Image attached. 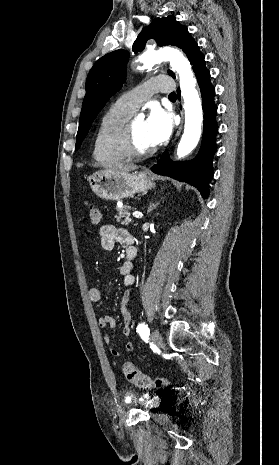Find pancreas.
<instances>
[{"mask_svg":"<svg viewBox=\"0 0 279 465\" xmlns=\"http://www.w3.org/2000/svg\"><path fill=\"white\" fill-rule=\"evenodd\" d=\"M129 210H131V207L128 205H124L121 208H117L118 214L115 216L117 222L121 221V223L124 225H128L130 222H132Z\"/></svg>","mask_w":279,"mask_h":465,"instance_id":"obj_1","label":"pancreas"}]
</instances>
